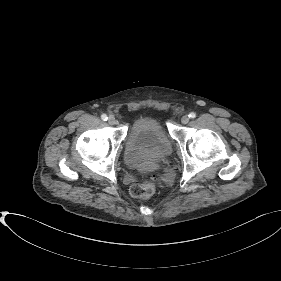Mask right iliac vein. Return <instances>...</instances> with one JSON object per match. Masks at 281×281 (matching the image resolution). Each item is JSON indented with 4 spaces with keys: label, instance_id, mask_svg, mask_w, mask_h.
I'll use <instances>...</instances> for the list:
<instances>
[{
    "label": "right iliac vein",
    "instance_id": "right-iliac-vein-1",
    "mask_svg": "<svg viewBox=\"0 0 281 281\" xmlns=\"http://www.w3.org/2000/svg\"><path fill=\"white\" fill-rule=\"evenodd\" d=\"M108 123L110 124V125H114V124H116V119H115V117L114 116H109V118H108Z\"/></svg>",
    "mask_w": 281,
    "mask_h": 281
}]
</instances>
